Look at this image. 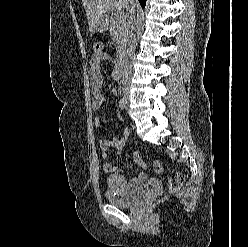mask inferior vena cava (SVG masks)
<instances>
[{"instance_id": "602c4592", "label": "inferior vena cava", "mask_w": 248, "mask_h": 247, "mask_svg": "<svg viewBox=\"0 0 248 247\" xmlns=\"http://www.w3.org/2000/svg\"><path fill=\"white\" fill-rule=\"evenodd\" d=\"M125 21L127 26V50H126V62L128 64L127 71H131V60L135 57V9L134 1L127 0L126 4Z\"/></svg>"}]
</instances>
